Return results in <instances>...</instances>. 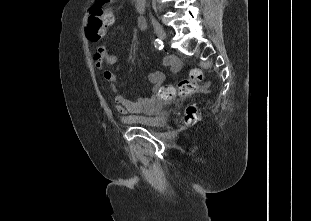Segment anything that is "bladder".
Returning <instances> with one entry per match:
<instances>
[{
    "label": "bladder",
    "instance_id": "bladder-1",
    "mask_svg": "<svg viewBox=\"0 0 311 221\" xmlns=\"http://www.w3.org/2000/svg\"><path fill=\"white\" fill-rule=\"evenodd\" d=\"M135 123L142 126L155 128L163 127L169 121V115L165 111L164 103L153 104L146 112L134 115Z\"/></svg>",
    "mask_w": 311,
    "mask_h": 221
}]
</instances>
